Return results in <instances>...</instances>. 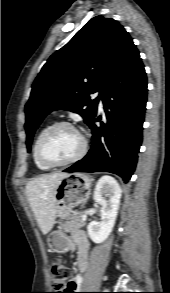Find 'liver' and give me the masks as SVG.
Instances as JSON below:
<instances>
[{
    "label": "liver",
    "instance_id": "1",
    "mask_svg": "<svg viewBox=\"0 0 170 293\" xmlns=\"http://www.w3.org/2000/svg\"><path fill=\"white\" fill-rule=\"evenodd\" d=\"M66 175L64 172L42 175L26 185L28 202L44 235L50 232L54 226L56 218L55 190Z\"/></svg>",
    "mask_w": 170,
    "mask_h": 293
}]
</instances>
